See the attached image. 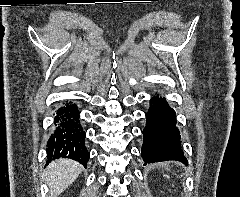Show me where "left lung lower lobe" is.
Here are the masks:
<instances>
[{
  "label": "left lung lower lobe",
  "instance_id": "left-lung-lower-lobe-1",
  "mask_svg": "<svg viewBox=\"0 0 240 197\" xmlns=\"http://www.w3.org/2000/svg\"><path fill=\"white\" fill-rule=\"evenodd\" d=\"M143 130L142 157L146 163L175 160L187 164L176 127L175 111L164 98L151 99Z\"/></svg>",
  "mask_w": 240,
  "mask_h": 197
}]
</instances>
